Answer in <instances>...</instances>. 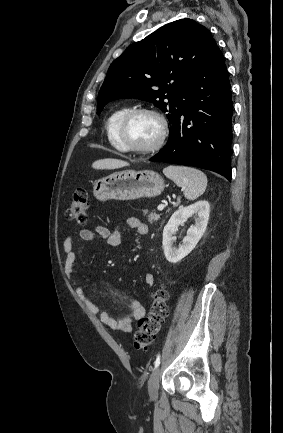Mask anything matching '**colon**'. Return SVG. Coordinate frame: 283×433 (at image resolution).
I'll list each match as a JSON object with an SVG mask.
<instances>
[{"mask_svg":"<svg viewBox=\"0 0 283 433\" xmlns=\"http://www.w3.org/2000/svg\"><path fill=\"white\" fill-rule=\"evenodd\" d=\"M88 193L78 188L69 203L67 217L82 224L87 221ZM169 293L166 287H158L151 295V308L147 316L139 321V327L134 335V347L137 350L148 349L155 341L162 324L168 316Z\"/></svg>","mask_w":283,"mask_h":433,"instance_id":"1","label":"colon"}]
</instances>
